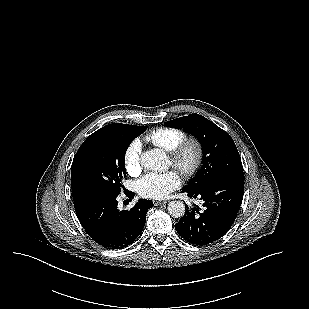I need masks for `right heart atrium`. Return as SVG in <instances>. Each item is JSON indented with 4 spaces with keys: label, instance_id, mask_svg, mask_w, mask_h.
<instances>
[{
    "label": "right heart atrium",
    "instance_id": "right-heart-atrium-1",
    "mask_svg": "<svg viewBox=\"0 0 309 309\" xmlns=\"http://www.w3.org/2000/svg\"><path fill=\"white\" fill-rule=\"evenodd\" d=\"M142 145L139 141L131 142L124 152V165L130 175H137L142 170Z\"/></svg>",
    "mask_w": 309,
    "mask_h": 309
}]
</instances>
